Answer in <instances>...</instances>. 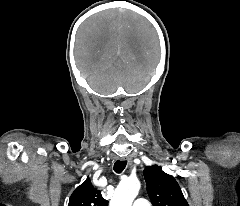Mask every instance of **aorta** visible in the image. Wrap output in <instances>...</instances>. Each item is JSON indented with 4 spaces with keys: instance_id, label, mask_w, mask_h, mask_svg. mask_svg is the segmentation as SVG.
<instances>
[{
    "instance_id": "obj_1",
    "label": "aorta",
    "mask_w": 240,
    "mask_h": 206,
    "mask_svg": "<svg viewBox=\"0 0 240 206\" xmlns=\"http://www.w3.org/2000/svg\"><path fill=\"white\" fill-rule=\"evenodd\" d=\"M140 187V182L136 178H127L121 181L110 201V206H131Z\"/></svg>"
}]
</instances>
